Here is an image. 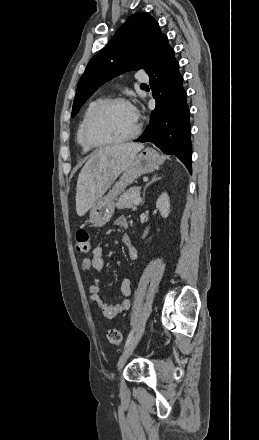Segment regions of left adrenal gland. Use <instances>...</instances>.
<instances>
[{
    "instance_id": "1",
    "label": "left adrenal gland",
    "mask_w": 259,
    "mask_h": 440,
    "mask_svg": "<svg viewBox=\"0 0 259 440\" xmlns=\"http://www.w3.org/2000/svg\"><path fill=\"white\" fill-rule=\"evenodd\" d=\"M159 179H161V177H159L158 174H155V175L152 177L151 181H149V182L146 184V186L144 187V190H143V200H142V202H141V205H143V203H144V201H145V191H146L147 187H148L149 185H151L152 183H154L155 181L159 180Z\"/></svg>"
}]
</instances>
